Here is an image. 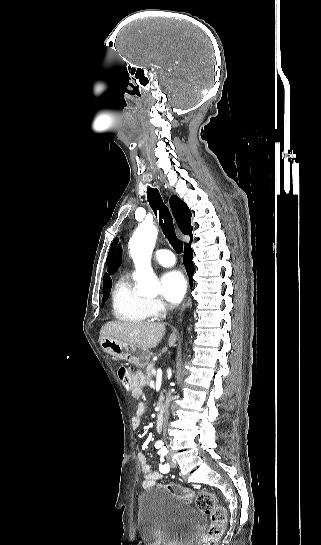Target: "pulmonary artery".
<instances>
[{
	"label": "pulmonary artery",
	"instance_id": "1",
	"mask_svg": "<svg viewBox=\"0 0 321 545\" xmlns=\"http://www.w3.org/2000/svg\"><path fill=\"white\" fill-rule=\"evenodd\" d=\"M171 250L159 249L154 252V260L162 266L171 267L175 264Z\"/></svg>",
	"mask_w": 321,
	"mask_h": 545
}]
</instances>
